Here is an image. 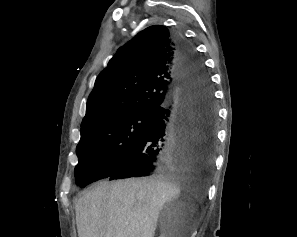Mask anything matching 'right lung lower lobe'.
<instances>
[{"instance_id": "obj_1", "label": "right lung lower lobe", "mask_w": 297, "mask_h": 237, "mask_svg": "<svg viewBox=\"0 0 297 237\" xmlns=\"http://www.w3.org/2000/svg\"><path fill=\"white\" fill-rule=\"evenodd\" d=\"M173 37L180 87L154 112L144 135L98 180L210 172L216 121L210 81L193 47L180 34Z\"/></svg>"}]
</instances>
